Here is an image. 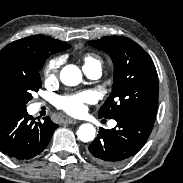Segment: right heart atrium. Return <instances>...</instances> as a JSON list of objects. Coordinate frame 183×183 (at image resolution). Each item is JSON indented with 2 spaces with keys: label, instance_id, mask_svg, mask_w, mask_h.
Listing matches in <instances>:
<instances>
[{
  "label": "right heart atrium",
  "instance_id": "1",
  "mask_svg": "<svg viewBox=\"0 0 183 183\" xmlns=\"http://www.w3.org/2000/svg\"><path fill=\"white\" fill-rule=\"evenodd\" d=\"M60 60L57 58L49 60L43 68V77L45 81L52 82L57 79L59 68H60Z\"/></svg>",
  "mask_w": 183,
  "mask_h": 183
}]
</instances>
